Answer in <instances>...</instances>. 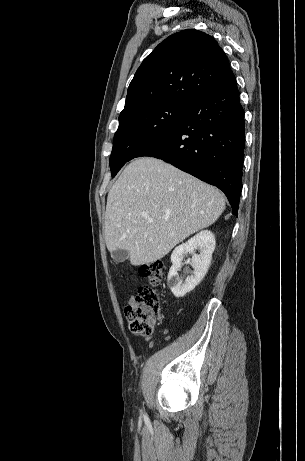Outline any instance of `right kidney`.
I'll use <instances>...</instances> for the list:
<instances>
[{
  "label": "right kidney",
  "mask_w": 305,
  "mask_h": 461,
  "mask_svg": "<svg viewBox=\"0 0 305 461\" xmlns=\"http://www.w3.org/2000/svg\"><path fill=\"white\" fill-rule=\"evenodd\" d=\"M214 249L215 237L213 233L209 230H203L173 250L171 254L172 266L169 270L167 285L175 297H184L201 282L208 271ZM196 250H199V254L195 253ZM186 253L192 254L191 265L194 271L183 281L177 272L183 265L182 261Z\"/></svg>",
  "instance_id": "ca27d5eb"
}]
</instances>
